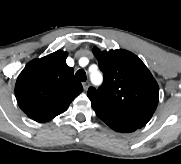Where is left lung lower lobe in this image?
Segmentation results:
<instances>
[{
	"mask_svg": "<svg viewBox=\"0 0 181 164\" xmlns=\"http://www.w3.org/2000/svg\"><path fill=\"white\" fill-rule=\"evenodd\" d=\"M102 121H104L109 127L118 132H133L138 129V127L121 122L118 120L110 119L107 117H99Z\"/></svg>",
	"mask_w": 181,
	"mask_h": 164,
	"instance_id": "obj_1",
	"label": "left lung lower lobe"
}]
</instances>
